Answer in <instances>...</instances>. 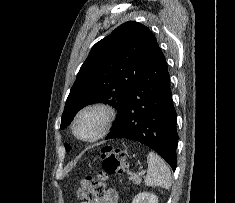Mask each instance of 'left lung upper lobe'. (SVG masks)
I'll list each match as a JSON object with an SVG mask.
<instances>
[{
    "label": "left lung upper lobe",
    "mask_w": 235,
    "mask_h": 203,
    "mask_svg": "<svg viewBox=\"0 0 235 203\" xmlns=\"http://www.w3.org/2000/svg\"><path fill=\"white\" fill-rule=\"evenodd\" d=\"M158 48L149 28L135 21L123 23L97 42L70 90L60 128H66L80 109L93 103L109 104L119 116ZM65 148L71 149L68 144Z\"/></svg>",
    "instance_id": "obj_1"
}]
</instances>
